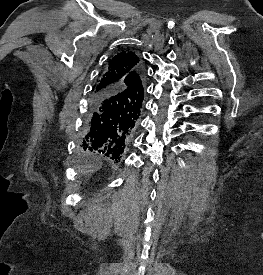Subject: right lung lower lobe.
<instances>
[{"mask_svg":"<svg viewBox=\"0 0 263 275\" xmlns=\"http://www.w3.org/2000/svg\"><path fill=\"white\" fill-rule=\"evenodd\" d=\"M135 75L141 79L140 67ZM128 97L126 90L92 94L80 141L84 150L120 160L140 115L130 112Z\"/></svg>","mask_w":263,"mask_h":275,"instance_id":"obj_1","label":"right lung lower lobe"}]
</instances>
